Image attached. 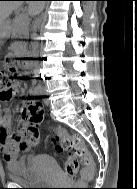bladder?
<instances>
[{
    "label": "bladder",
    "instance_id": "1",
    "mask_svg": "<svg viewBox=\"0 0 137 189\" xmlns=\"http://www.w3.org/2000/svg\"><path fill=\"white\" fill-rule=\"evenodd\" d=\"M10 181L23 185H47L60 176V169L54 157L42 155L37 157L34 164L19 171L9 170Z\"/></svg>",
    "mask_w": 137,
    "mask_h": 189
}]
</instances>
